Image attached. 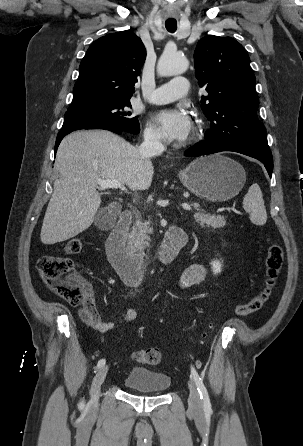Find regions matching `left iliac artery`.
Segmentation results:
<instances>
[{"label": "left iliac artery", "mask_w": 303, "mask_h": 446, "mask_svg": "<svg viewBox=\"0 0 303 446\" xmlns=\"http://www.w3.org/2000/svg\"><path fill=\"white\" fill-rule=\"evenodd\" d=\"M191 374H192L193 379H194V381L196 383L197 389H198V391L200 393V398L202 400L204 410L206 412H210L211 411V403H210V399H209V395H208L207 389L204 386V383H203L202 379L200 378V376L198 375L196 369L193 366H191Z\"/></svg>", "instance_id": "44dca946"}]
</instances>
